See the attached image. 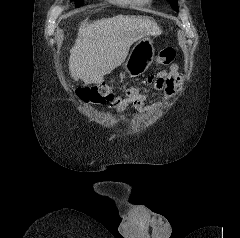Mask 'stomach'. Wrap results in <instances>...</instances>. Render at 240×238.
Wrapping results in <instances>:
<instances>
[{
	"mask_svg": "<svg viewBox=\"0 0 240 238\" xmlns=\"http://www.w3.org/2000/svg\"><path fill=\"white\" fill-rule=\"evenodd\" d=\"M155 48L151 37H144L136 41L129 56L123 64L122 72L130 77H137L144 73L152 64Z\"/></svg>",
	"mask_w": 240,
	"mask_h": 238,
	"instance_id": "stomach-1",
	"label": "stomach"
}]
</instances>
